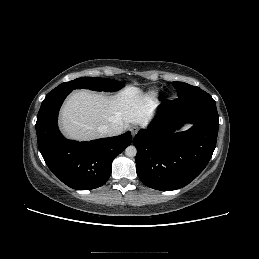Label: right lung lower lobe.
I'll use <instances>...</instances> for the list:
<instances>
[{"label":"right lung lower lobe","mask_w":259,"mask_h":259,"mask_svg":"<svg viewBox=\"0 0 259 259\" xmlns=\"http://www.w3.org/2000/svg\"><path fill=\"white\" fill-rule=\"evenodd\" d=\"M62 90L47 94L37 115L39 150L52 173L76 190H91L104 185L111 175L114 158L132 142L130 131L116 137L90 142L65 139L57 125L59 109L70 93Z\"/></svg>","instance_id":"right-lung-lower-lobe-1"}]
</instances>
